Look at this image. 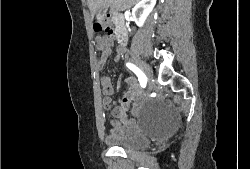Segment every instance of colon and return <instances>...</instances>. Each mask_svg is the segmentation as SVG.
Here are the masks:
<instances>
[{"label":"colon","instance_id":"obj_1","mask_svg":"<svg viewBox=\"0 0 250 169\" xmlns=\"http://www.w3.org/2000/svg\"><path fill=\"white\" fill-rule=\"evenodd\" d=\"M94 30L96 32H102V31H104L108 36H111L114 33V30H113V28L111 26L105 25L101 21H97L94 24Z\"/></svg>","mask_w":250,"mask_h":169}]
</instances>
